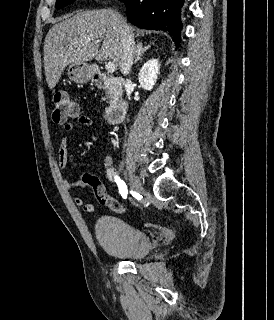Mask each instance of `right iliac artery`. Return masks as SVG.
Wrapping results in <instances>:
<instances>
[{
    "label": "right iliac artery",
    "mask_w": 274,
    "mask_h": 320,
    "mask_svg": "<svg viewBox=\"0 0 274 320\" xmlns=\"http://www.w3.org/2000/svg\"><path fill=\"white\" fill-rule=\"evenodd\" d=\"M115 181L117 182L118 184V187H119V192L121 194V196L126 199L127 198V195H128V189H127V186L126 184L118 177V176H115ZM130 193L133 195L134 198H136L137 200H141L142 196L137 193V192H134V191H130Z\"/></svg>",
    "instance_id": "82829eb1"
}]
</instances>
